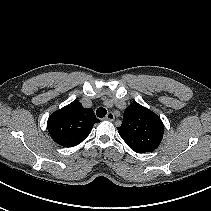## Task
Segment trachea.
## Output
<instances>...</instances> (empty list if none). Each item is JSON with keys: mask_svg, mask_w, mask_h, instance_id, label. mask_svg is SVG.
Returning <instances> with one entry per match:
<instances>
[{"mask_svg": "<svg viewBox=\"0 0 211 211\" xmlns=\"http://www.w3.org/2000/svg\"><path fill=\"white\" fill-rule=\"evenodd\" d=\"M107 113V110L103 107H99L97 110H96V115L97 117L99 118H103Z\"/></svg>", "mask_w": 211, "mask_h": 211, "instance_id": "1", "label": "trachea"}]
</instances>
